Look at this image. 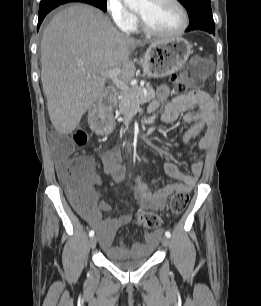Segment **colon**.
Returning <instances> with one entry per match:
<instances>
[{
    "label": "colon",
    "instance_id": "colon-1",
    "mask_svg": "<svg viewBox=\"0 0 261 306\" xmlns=\"http://www.w3.org/2000/svg\"><path fill=\"white\" fill-rule=\"evenodd\" d=\"M212 65L203 58H192L176 76V87L179 91L193 93L200 91L207 76L211 72ZM98 121L105 127L109 125L108 109H99L97 112ZM88 140V133L85 128L76 131L72 137L57 136L53 139V148L56 156L65 161L58 169L61 180L73 191L76 202H81L90 195L87 186L89 169L81 157L72 158L71 153L75 145H82ZM189 202V195L184 191L175 192L170 200L171 212L180 215L184 212ZM136 223L145 230H155L161 225V218L153 212L141 213Z\"/></svg>",
    "mask_w": 261,
    "mask_h": 306
}]
</instances>
